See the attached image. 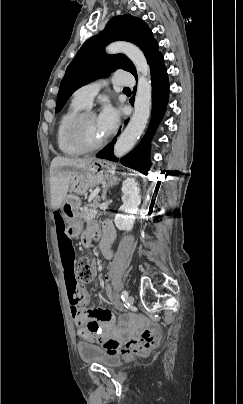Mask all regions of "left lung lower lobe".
Segmentation results:
<instances>
[{"label": "left lung lower lobe", "instance_id": "0a47b994", "mask_svg": "<svg viewBox=\"0 0 243 404\" xmlns=\"http://www.w3.org/2000/svg\"><path fill=\"white\" fill-rule=\"evenodd\" d=\"M151 81H152V117L148 131L143 138L142 142L128 155L123 157L120 161L123 165L136 169L144 174H147L150 162L148 159V149L151 137L162 119L169 97V82L167 70L164 65L162 54L158 55L150 64ZM137 79V77H136ZM136 88H134V91ZM119 134V133H118ZM116 138L112 143L108 144L102 149L96 157L117 161L113 156V146Z\"/></svg>", "mask_w": 243, "mask_h": 404}]
</instances>
